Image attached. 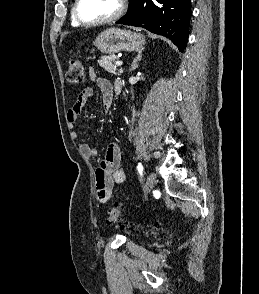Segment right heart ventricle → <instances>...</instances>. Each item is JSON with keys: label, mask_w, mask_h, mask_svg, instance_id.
<instances>
[{"label": "right heart ventricle", "mask_w": 259, "mask_h": 294, "mask_svg": "<svg viewBox=\"0 0 259 294\" xmlns=\"http://www.w3.org/2000/svg\"><path fill=\"white\" fill-rule=\"evenodd\" d=\"M71 24H72V26H74V27H79V26H80V25L75 21L73 15L71 16Z\"/></svg>", "instance_id": "right-heart-ventricle-1"}]
</instances>
